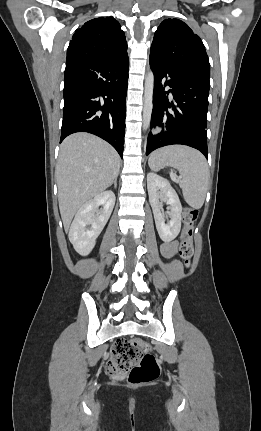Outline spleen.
Returning <instances> with one entry per match:
<instances>
[{
    "label": "spleen",
    "instance_id": "spleen-1",
    "mask_svg": "<svg viewBox=\"0 0 261 431\" xmlns=\"http://www.w3.org/2000/svg\"><path fill=\"white\" fill-rule=\"evenodd\" d=\"M149 166L158 171L164 166L177 169L181 176L180 187L188 205L202 207L209 181V170L204 156L189 147L170 146L158 149L149 157Z\"/></svg>",
    "mask_w": 261,
    "mask_h": 431
}]
</instances>
